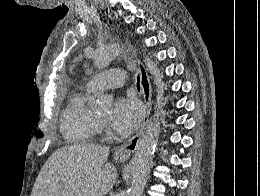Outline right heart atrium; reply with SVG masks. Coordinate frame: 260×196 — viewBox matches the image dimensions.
<instances>
[{
    "instance_id": "right-heart-atrium-1",
    "label": "right heart atrium",
    "mask_w": 260,
    "mask_h": 196,
    "mask_svg": "<svg viewBox=\"0 0 260 196\" xmlns=\"http://www.w3.org/2000/svg\"><path fill=\"white\" fill-rule=\"evenodd\" d=\"M56 192H86V190H56Z\"/></svg>"
}]
</instances>
